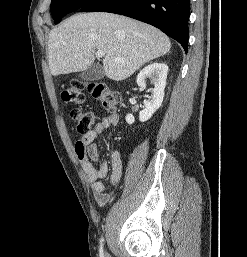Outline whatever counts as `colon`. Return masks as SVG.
<instances>
[{"mask_svg": "<svg viewBox=\"0 0 247 257\" xmlns=\"http://www.w3.org/2000/svg\"><path fill=\"white\" fill-rule=\"evenodd\" d=\"M85 88L88 89L92 97L96 99L105 110L110 112L116 110L119 95L111 86L102 82H90L86 85L79 81L71 82L63 89L61 94L62 100L67 104L83 105L86 100L84 94ZM70 114L77 131L80 133L89 132L97 121V114L94 111L73 108Z\"/></svg>", "mask_w": 247, "mask_h": 257, "instance_id": "1", "label": "colon"}]
</instances>
